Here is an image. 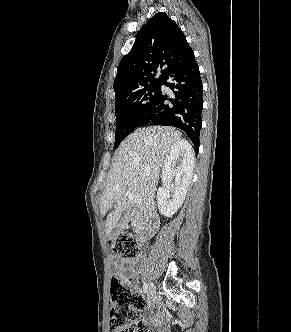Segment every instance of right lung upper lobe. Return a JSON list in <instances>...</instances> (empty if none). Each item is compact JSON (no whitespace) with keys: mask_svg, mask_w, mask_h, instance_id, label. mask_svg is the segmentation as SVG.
<instances>
[{"mask_svg":"<svg viewBox=\"0 0 291 332\" xmlns=\"http://www.w3.org/2000/svg\"><path fill=\"white\" fill-rule=\"evenodd\" d=\"M182 30L165 13L154 15L137 34L131 51L117 68L115 100L155 82L194 58ZM157 72H161L158 79Z\"/></svg>","mask_w":291,"mask_h":332,"instance_id":"1","label":"right lung upper lobe"}]
</instances>
